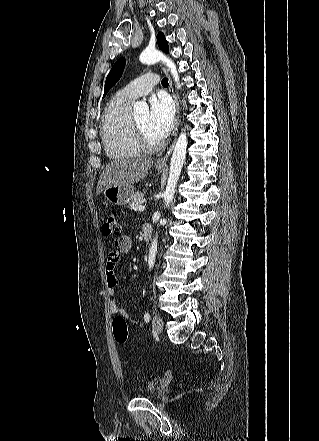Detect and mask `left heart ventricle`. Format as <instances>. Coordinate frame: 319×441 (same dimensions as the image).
I'll return each instance as SVG.
<instances>
[{
	"mask_svg": "<svg viewBox=\"0 0 319 441\" xmlns=\"http://www.w3.org/2000/svg\"><path fill=\"white\" fill-rule=\"evenodd\" d=\"M138 123V125L140 126V128L142 129V131L144 132L145 136L153 142L159 141V139H157L151 132L150 130V126H149V114L144 113L142 115H140L139 117H137L135 119Z\"/></svg>",
	"mask_w": 319,
	"mask_h": 441,
	"instance_id": "1",
	"label": "left heart ventricle"
}]
</instances>
